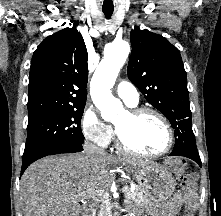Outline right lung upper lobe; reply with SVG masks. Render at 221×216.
Wrapping results in <instances>:
<instances>
[{"instance_id": "obj_1", "label": "right lung upper lobe", "mask_w": 221, "mask_h": 216, "mask_svg": "<svg viewBox=\"0 0 221 216\" xmlns=\"http://www.w3.org/2000/svg\"><path fill=\"white\" fill-rule=\"evenodd\" d=\"M87 58L82 35L74 26L42 41L30 66L28 118L85 105Z\"/></svg>"}]
</instances>
